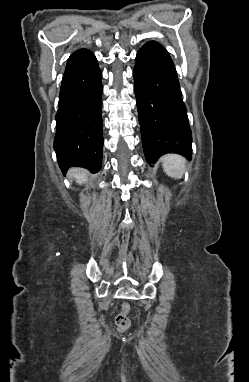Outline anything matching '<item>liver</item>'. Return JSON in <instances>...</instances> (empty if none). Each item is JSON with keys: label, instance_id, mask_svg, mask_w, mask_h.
Here are the masks:
<instances>
[{"label": "liver", "instance_id": "obj_1", "mask_svg": "<svg viewBox=\"0 0 249 382\" xmlns=\"http://www.w3.org/2000/svg\"><path fill=\"white\" fill-rule=\"evenodd\" d=\"M69 175L74 177L78 184H83L87 180V173L83 169L73 168L69 171Z\"/></svg>", "mask_w": 249, "mask_h": 382}]
</instances>
